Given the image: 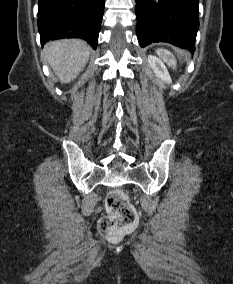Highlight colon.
I'll use <instances>...</instances> for the list:
<instances>
[{"mask_svg":"<svg viewBox=\"0 0 233 284\" xmlns=\"http://www.w3.org/2000/svg\"><path fill=\"white\" fill-rule=\"evenodd\" d=\"M158 55L172 69L177 68L174 55L167 49H158ZM107 215L99 221V231L102 235L114 238L120 233L132 228L138 219L137 212L130 203L128 195L116 189L111 191L106 199Z\"/></svg>","mask_w":233,"mask_h":284,"instance_id":"colon-1","label":"colon"}]
</instances>
